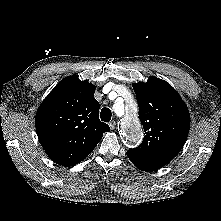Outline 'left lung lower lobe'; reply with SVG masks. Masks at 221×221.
Returning a JSON list of instances; mask_svg holds the SVG:
<instances>
[{"mask_svg": "<svg viewBox=\"0 0 221 221\" xmlns=\"http://www.w3.org/2000/svg\"><path fill=\"white\" fill-rule=\"evenodd\" d=\"M129 159L133 162V164L142 171H154L161 168V166L145 162L143 160L136 159L132 156H128Z\"/></svg>", "mask_w": 221, "mask_h": 221, "instance_id": "1", "label": "left lung lower lobe"}]
</instances>
